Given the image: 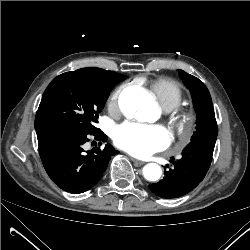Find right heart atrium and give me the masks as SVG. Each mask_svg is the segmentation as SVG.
<instances>
[{
	"instance_id": "d8ad5b80",
	"label": "right heart atrium",
	"mask_w": 250,
	"mask_h": 250,
	"mask_svg": "<svg viewBox=\"0 0 250 250\" xmlns=\"http://www.w3.org/2000/svg\"><path fill=\"white\" fill-rule=\"evenodd\" d=\"M120 89L114 90L108 98L107 105L110 111L117 112L119 110Z\"/></svg>"
}]
</instances>
